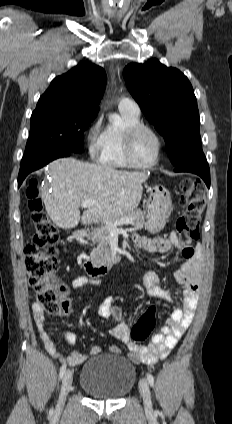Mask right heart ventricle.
I'll return each mask as SVG.
<instances>
[{
  "mask_svg": "<svg viewBox=\"0 0 232 424\" xmlns=\"http://www.w3.org/2000/svg\"><path fill=\"white\" fill-rule=\"evenodd\" d=\"M118 123H109L100 134L101 149L98 161L101 165L114 168L131 167L124 154V138L128 128L142 123L140 114L119 110Z\"/></svg>",
  "mask_w": 232,
  "mask_h": 424,
  "instance_id": "e07e8e85",
  "label": "right heart ventricle"
}]
</instances>
